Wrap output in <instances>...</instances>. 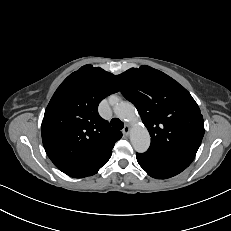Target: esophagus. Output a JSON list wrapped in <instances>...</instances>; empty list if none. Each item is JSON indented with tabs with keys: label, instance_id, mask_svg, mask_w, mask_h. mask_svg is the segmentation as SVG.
<instances>
[{
	"label": "esophagus",
	"instance_id": "1",
	"mask_svg": "<svg viewBox=\"0 0 231 231\" xmlns=\"http://www.w3.org/2000/svg\"><path fill=\"white\" fill-rule=\"evenodd\" d=\"M124 135H128L130 132V126L128 124L125 125V127L122 130Z\"/></svg>",
	"mask_w": 231,
	"mask_h": 231
}]
</instances>
